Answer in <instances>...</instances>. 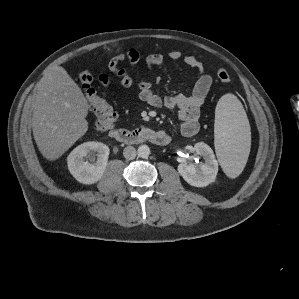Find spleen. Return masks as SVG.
<instances>
[{"instance_id": "spleen-1", "label": "spleen", "mask_w": 299, "mask_h": 299, "mask_svg": "<svg viewBox=\"0 0 299 299\" xmlns=\"http://www.w3.org/2000/svg\"><path fill=\"white\" fill-rule=\"evenodd\" d=\"M214 144L225 174L230 178L239 176L250 152L251 133L243 105L233 94L223 95L217 103Z\"/></svg>"}]
</instances>
